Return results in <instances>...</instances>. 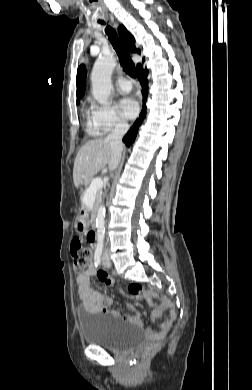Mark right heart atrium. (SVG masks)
Instances as JSON below:
<instances>
[{"label": "right heart atrium", "instance_id": "obj_1", "mask_svg": "<svg viewBox=\"0 0 252 390\" xmlns=\"http://www.w3.org/2000/svg\"><path fill=\"white\" fill-rule=\"evenodd\" d=\"M91 129L95 134H109L128 127L126 120L109 106L93 104L90 115Z\"/></svg>", "mask_w": 252, "mask_h": 390}]
</instances>
